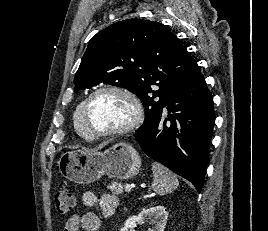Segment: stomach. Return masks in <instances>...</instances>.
Segmentation results:
<instances>
[{"label":"stomach","mask_w":268,"mask_h":231,"mask_svg":"<svg viewBox=\"0 0 268 231\" xmlns=\"http://www.w3.org/2000/svg\"><path fill=\"white\" fill-rule=\"evenodd\" d=\"M57 165L64 178L78 184H89L103 175L119 180L130 179L139 173L141 159L131 145L121 142L104 152H65L60 156Z\"/></svg>","instance_id":"1"}]
</instances>
